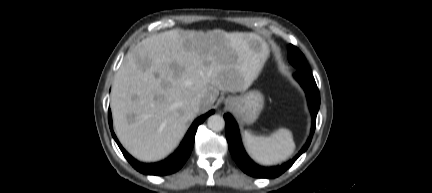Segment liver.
<instances>
[{"instance_id": "obj_1", "label": "liver", "mask_w": 432, "mask_h": 193, "mask_svg": "<svg viewBox=\"0 0 432 193\" xmlns=\"http://www.w3.org/2000/svg\"><path fill=\"white\" fill-rule=\"evenodd\" d=\"M268 56L266 42L252 32L173 29L142 40L125 56L112 86L119 141L140 161L163 159L219 91H246ZM194 99L201 100L198 111L191 108Z\"/></svg>"}]
</instances>
